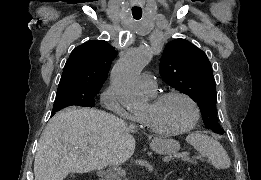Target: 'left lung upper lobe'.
I'll return each instance as SVG.
<instances>
[{"label":"left lung upper lobe","instance_id":"left-lung-upper-lobe-1","mask_svg":"<svg viewBox=\"0 0 261 180\" xmlns=\"http://www.w3.org/2000/svg\"><path fill=\"white\" fill-rule=\"evenodd\" d=\"M164 81L197 102L204 124L215 133L224 130L217 122L216 86L206 54L185 39L168 43L160 61Z\"/></svg>","mask_w":261,"mask_h":180}]
</instances>
